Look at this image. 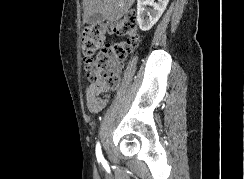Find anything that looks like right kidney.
<instances>
[{
	"label": "right kidney",
	"mask_w": 244,
	"mask_h": 179,
	"mask_svg": "<svg viewBox=\"0 0 244 179\" xmlns=\"http://www.w3.org/2000/svg\"><path fill=\"white\" fill-rule=\"evenodd\" d=\"M169 0H137V22L142 32H148L161 18ZM146 6H153L154 10H147Z\"/></svg>",
	"instance_id": "ca27d5eb"
}]
</instances>
